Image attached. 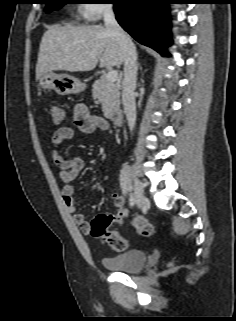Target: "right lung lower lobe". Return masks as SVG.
Segmentation results:
<instances>
[{
  "label": "right lung lower lobe",
  "mask_w": 236,
  "mask_h": 321,
  "mask_svg": "<svg viewBox=\"0 0 236 321\" xmlns=\"http://www.w3.org/2000/svg\"><path fill=\"white\" fill-rule=\"evenodd\" d=\"M118 23L138 42L167 56L171 43L167 0H111Z\"/></svg>",
  "instance_id": "right-lung-lower-lobe-1"
}]
</instances>
